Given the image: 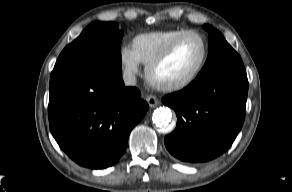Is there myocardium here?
I'll list each match as a JSON object with an SVG mask.
<instances>
[{
	"label": "myocardium",
	"instance_id": "myocardium-1",
	"mask_svg": "<svg viewBox=\"0 0 292 192\" xmlns=\"http://www.w3.org/2000/svg\"><path fill=\"white\" fill-rule=\"evenodd\" d=\"M194 35L198 37L203 46V53L201 60L194 71L188 75L186 78L172 82V83H159L153 77L154 70L164 62L175 50L177 45L186 37ZM209 57V44L207 39L204 37L203 34L196 30H187L177 37H175L156 57H154L147 65L145 69V75L150 84L156 87L159 90L171 92L177 91L186 88L187 86L191 85L202 73L204 70Z\"/></svg>",
	"mask_w": 292,
	"mask_h": 192
}]
</instances>
